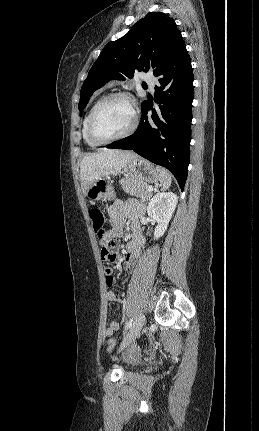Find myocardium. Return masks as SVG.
<instances>
[{"instance_id": "myocardium-1", "label": "myocardium", "mask_w": 259, "mask_h": 431, "mask_svg": "<svg viewBox=\"0 0 259 431\" xmlns=\"http://www.w3.org/2000/svg\"><path fill=\"white\" fill-rule=\"evenodd\" d=\"M114 99H124L126 101L129 102L131 108H132V112H133V121L131 126L122 134H119L117 136L114 137H110V138H100L96 135L95 130H94V124H95V120L96 117L98 115V113L100 112V110L110 101L114 100ZM139 125V115L136 109V104L135 101L133 99V97L127 93V92H115V93H111L106 95L105 97H103L94 107V109L92 110L89 120H88V136L89 138L96 144H107V143H111L114 141H118L124 138L129 137L130 135H132L136 129L138 128Z\"/></svg>"}]
</instances>
